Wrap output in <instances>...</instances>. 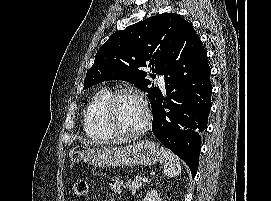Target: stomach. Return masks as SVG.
Segmentation results:
<instances>
[{
	"instance_id": "stomach-1",
	"label": "stomach",
	"mask_w": 271,
	"mask_h": 201,
	"mask_svg": "<svg viewBox=\"0 0 271 201\" xmlns=\"http://www.w3.org/2000/svg\"><path fill=\"white\" fill-rule=\"evenodd\" d=\"M74 154V162L83 161L96 167L151 166L162 159L159 146L149 140L127 146H97Z\"/></svg>"
}]
</instances>
